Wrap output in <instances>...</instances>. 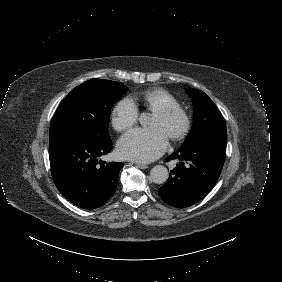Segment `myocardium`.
Returning <instances> with one entry per match:
<instances>
[{"instance_id":"myocardium-1","label":"myocardium","mask_w":282,"mask_h":282,"mask_svg":"<svg viewBox=\"0 0 282 282\" xmlns=\"http://www.w3.org/2000/svg\"><path fill=\"white\" fill-rule=\"evenodd\" d=\"M154 114L168 121H178L176 128L168 134L171 140L178 141L187 135L190 129V119L182 108L178 106H165L155 110Z\"/></svg>"}]
</instances>
